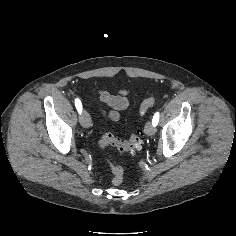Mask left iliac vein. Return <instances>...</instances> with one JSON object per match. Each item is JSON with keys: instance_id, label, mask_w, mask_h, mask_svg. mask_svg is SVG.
<instances>
[{"instance_id": "left-iliac-vein-1", "label": "left iliac vein", "mask_w": 236, "mask_h": 236, "mask_svg": "<svg viewBox=\"0 0 236 236\" xmlns=\"http://www.w3.org/2000/svg\"><path fill=\"white\" fill-rule=\"evenodd\" d=\"M156 132L155 126L149 121L145 125V133L149 136L154 135Z\"/></svg>"}]
</instances>
